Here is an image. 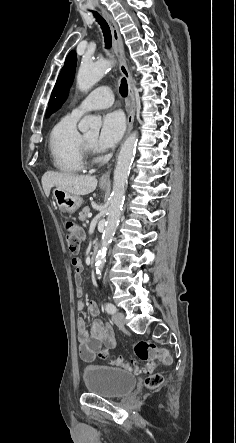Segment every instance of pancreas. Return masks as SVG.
Masks as SVG:
<instances>
[{"mask_svg":"<svg viewBox=\"0 0 236 443\" xmlns=\"http://www.w3.org/2000/svg\"><path fill=\"white\" fill-rule=\"evenodd\" d=\"M89 213H90V208L88 206L84 207L82 211L79 213V220L85 221L88 218Z\"/></svg>","mask_w":236,"mask_h":443,"instance_id":"pancreas-1","label":"pancreas"}]
</instances>
